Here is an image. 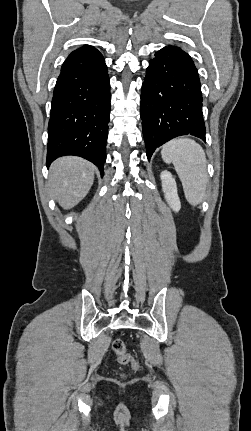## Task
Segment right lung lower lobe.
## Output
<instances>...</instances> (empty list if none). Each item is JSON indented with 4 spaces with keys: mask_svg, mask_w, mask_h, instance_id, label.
I'll use <instances>...</instances> for the list:
<instances>
[{
    "mask_svg": "<svg viewBox=\"0 0 251 431\" xmlns=\"http://www.w3.org/2000/svg\"><path fill=\"white\" fill-rule=\"evenodd\" d=\"M110 83L101 53L90 46L73 51L61 67L48 124L46 164L76 155L103 176L110 115Z\"/></svg>",
    "mask_w": 251,
    "mask_h": 431,
    "instance_id": "1",
    "label": "right lung lower lobe"
}]
</instances>
